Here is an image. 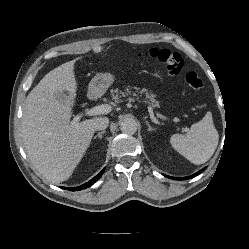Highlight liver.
Returning a JSON list of instances; mask_svg holds the SVG:
<instances>
[{
  "instance_id": "obj_1",
  "label": "liver",
  "mask_w": 249,
  "mask_h": 249,
  "mask_svg": "<svg viewBox=\"0 0 249 249\" xmlns=\"http://www.w3.org/2000/svg\"><path fill=\"white\" fill-rule=\"evenodd\" d=\"M75 61L47 73L28 94L23 110L21 134L27 155L52 183L70 178L94 135V118L70 121L77 90Z\"/></svg>"
}]
</instances>
